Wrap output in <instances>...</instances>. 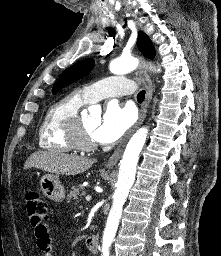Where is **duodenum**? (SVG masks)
Wrapping results in <instances>:
<instances>
[{
	"label": "duodenum",
	"mask_w": 221,
	"mask_h": 256,
	"mask_svg": "<svg viewBox=\"0 0 221 256\" xmlns=\"http://www.w3.org/2000/svg\"><path fill=\"white\" fill-rule=\"evenodd\" d=\"M99 239L97 235H92L87 238L86 246L92 254H96L98 251Z\"/></svg>",
	"instance_id": "obj_1"
}]
</instances>
